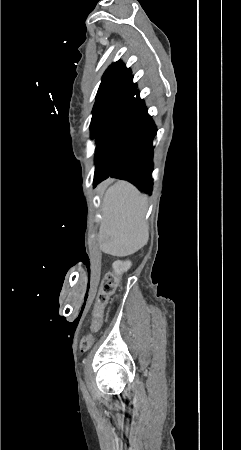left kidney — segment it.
<instances>
[{"label": "left kidney", "mask_w": 241, "mask_h": 450, "mask_svg": "<svg viewBox=\"0 0 241 450\" xmlns=\"http://www.w3.org/2000/svg\"><path fill=\"white\" fill-rule=\"evenodd\" d=\"M112 266L113 270H115V272H118V274H120V272H127V270L131 268L132 264L131 262H129V260H126V262H121V260H117V262H114Z\"/></svg>", "instance_id": "5707ae66"}]
</instances>
